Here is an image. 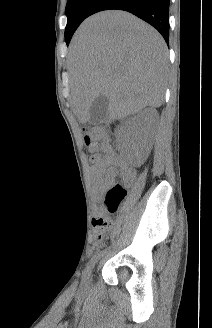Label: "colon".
I'll use <instances>...</instances> for the list:
<instances>
[{
  "label": "colon",
  "instance_id": "obj_1",
  "mask_svg": "<svg viewBox=\"0 0 212 328\" xmlns=\"http://www.w3.org/2000/svg\"><path fill=\"white\" fill-rule=\"evenodd\" d=\"M84 141L90 147H94L99 143H106V133L101 128L85 129ZM126 194L127 190L121 184H114L104 193L101 200V212L96 219V225L99 229V239H103L107 231L111 229L113 225L112 216L117 212Z\"/></svg>",
  "mask_w": 212,
  "mask_h": 328
}]
</instances>
